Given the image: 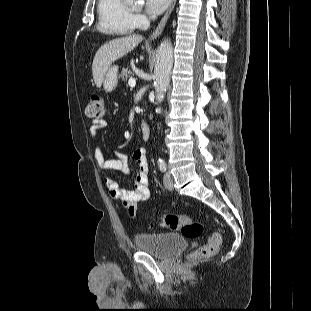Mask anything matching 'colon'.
<instances>
[{"label":"colon","mask_w":311,"mask_h":311,"mask_svg":"<svg viewBox=\"0 0 311 311\" xmlns=\"http://www.w3.org/2000/svg\"><path fill=\"white\" fill-rule=\"evenodd\" d=\"M106 109L104 99L99 94H92L85 108L88 118L102 120L105 117ZM162 225L170 230L180 231L185 237L196 239L203 234L204 226L201 222L192 219L187 215L167 214L162 220ZM221 243L218 233L210 234L206 244L189 254L190 260L202 259L213 255Z\"/></svg>","instance_id":"colon-1"}]
</instances>
